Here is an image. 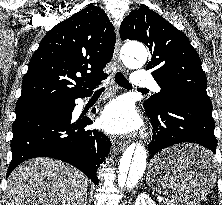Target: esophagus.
Masks as SVG:
<instances>
[{
  "mask_svg": "<svg viewBox=\"0 0 222 205\" xmlns=\"http://www.w3.org/2000/svg\"><path fill=\"white\" fill-rule=\"evenodd\" d=\"M115 32H116V44H115V49H114V61L115 64L117 66V68L123 72H126V68L124 67V65L121 62L120 59V47H121V41H120V37H119V29L118 27L115 28ZM125 147V143L124 142H115L113 144V149L114 151L120 152L124 149Z\"/></svg>",
  "mask_w": 222,
  "mask_h": 205,
  "instance_id": "esophagus-1",
  "label": "esophagus"
}]
</instances>
